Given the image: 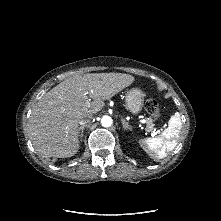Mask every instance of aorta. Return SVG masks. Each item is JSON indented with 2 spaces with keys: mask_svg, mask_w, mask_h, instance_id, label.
<instances>
[{
  "mask_svg": "<svg viewBox=\"0 0 221 221\" xmlns=\"http://www.w3.org/2000/svg\"><path fill=\"white\" fill-rule=\"evenodd\" d=\"M112 123H113V120L110 116L105 115L101 118V124L103 127H110Z\"/></svg>",
  "mask_w": 221,
  "mask_h": 221,
  "instance_id": "obj_1",
  "label": "aorta"
}]
</instances>
